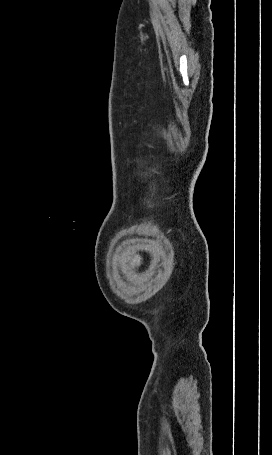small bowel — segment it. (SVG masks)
Segmentation results:
<instances>
[{
	"label": "small bowel",
	"instance_id": "obj_1",
	"mask_svg": "<svg viewBox=\"0 0 272 455\" xmlns=\"http://www.w3.org/2000/svg\"><path fill=\"white\" fill-rule=\"evenodd\" d=\"M142 261V257L140 255L136 256L129 265V270L135 269Z\"/></svg>",
	"mask_w": 272,
	"mask_h": 455
}]
</instances>
